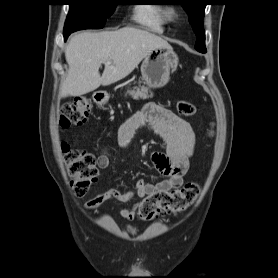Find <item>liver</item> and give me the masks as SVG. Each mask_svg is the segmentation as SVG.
<instances>
[{"mask_svg": "<svg viewBox=\"0 0 278 278\" xmlns=\"http://www.w3.org/2000/svg\"><path fill=\"white\" fill-rule=\"evenodd\" d=\"M158 47L171 46L161 37L134 27L76 35L65 49L69 70L60 93L81 96L101 85H111L128 76L152 49ZM101 64L105 65L102 76L99 73Z\"/></svg>", "mask_w": 278, "mask_h": 278, "instance_id": "1", "label": "liver"}]
</instances>
